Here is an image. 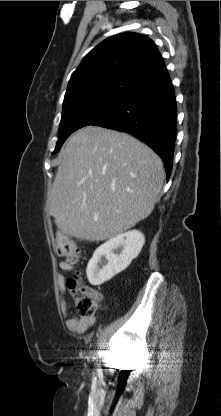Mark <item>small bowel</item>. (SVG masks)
<instances>
[{"instance_id":"c3829d8e","label":"small bowel","mask_w":221,"mask_h":416,"mask_svg":"<svg viewBox=\"0 0 221 416\" xmlns=\"http://www.w3.org/2000/svg\"><path fill=\"white\" fill-rule=\"evenodd\" d=\"M59 267L62 271L69 272L74 269V265L67 261H62L59 263ZM57 282L60 292V305L63 315L67 318L66 326L67 328L76 333H84L90 327H92L96 321L95 317L83 318L77 316H70L69 306L66 299V286H65V276L62 273H59L57 276Z\"/></svg>"}]
</instances>
